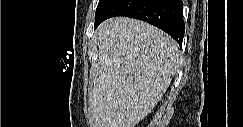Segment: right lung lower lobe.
<instances>
[{
    "instance_id": "right-lung-lower-lobe-1",
    "label": "right lung lower lobe",
    "mask_w": 243,
    "mask_h": 127,
    "mask_svg": "<svg viewBox=\"0 0 243 127\" xmlns=\"http://www.w3.org/2000/svg\"><path fill=\"white\" fill-rule=\"evenodd\" d=\"M114 16L148 22L167 32L182 46L185 33L182 0H109L95 15V28Z\"/></svg>"
}]
</instances>
